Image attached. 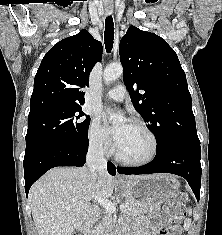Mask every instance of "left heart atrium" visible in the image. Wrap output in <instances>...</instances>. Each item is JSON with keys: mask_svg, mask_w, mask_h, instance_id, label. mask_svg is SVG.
<instances>
[{"mask_svg": "<svg viewBox=\"0 0 222 235\" xmlns=\"http://www.w3.org/2000/svg\"><path fill=\"white\" fill-rule=\"evenodd\" d=\"M127 125L128 124L125 123V124L121 125L120 127H118L117 129L112 131L114 140L117 145L122 141Z\"/></svg>", "mask_w": 222, "mask_h": 235, "instance_id": "1", "label": "left heart atrium"}]
</instances>
